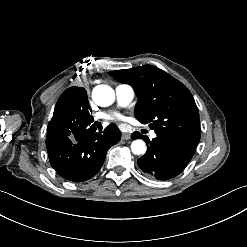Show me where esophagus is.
<instances>
[{
    "instance_id": "esophagus-1",
    "label": "esophagus",
    "mask_w": 247,
    "mask_h": 247,
    "mask_svg": "<svg viewBox=\"0 0 247 247\" xmlns=\"http://www.w3.org/2000/svg\"><path fill=\"white\" fill-rule=\"evenodd\" d=\"M122 139L123 140H129L130 139V133H127V132L122 133Z\"/></svg>"
}]
</instances>
